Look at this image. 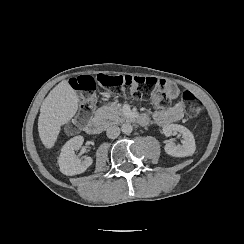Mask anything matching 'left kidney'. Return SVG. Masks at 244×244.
<instances>
[{
	"instance_id": "1",
	"label": "left kidney",
	"mask_w": 244,
	"mask_h": 244,
	"mask_svg": "<svg viewBox=\"0 0 244 244\" xmlns=\"http://www.w3.org/2000/svg\"><path fill=\"white\" fill-rule=\"evenodd\" d=\"M163 132L166 136L173 133H180L183 136L182 146H176L173 142H169L165 145L164 151L167 155L175 158H182L192 156L196 151V143L192 133L184 126L177 124H170L163 128Z\"/></svg>"
}]
</instances>
